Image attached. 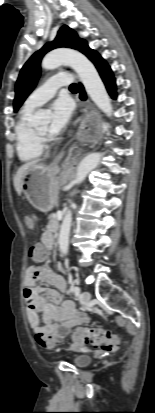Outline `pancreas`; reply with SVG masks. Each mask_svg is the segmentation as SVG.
Wrapping results in <instances>:
<instances>
[{"instance_id": "cf45deb5", "label": "pancreas", "mask_w": 155, "mask_h": 413, "mask_svg": "<svg viewBox=\"0 0 155 413\" xmlns=\"http://www.w3.org/2000/svg\"><path fill=\"white\" fill-rule=\"evenodd\" d=\"M58 226H59V223H58L57 216L55 214L50 215L49 216V228H51L52 231L56 232Z\"/></svg>"}]
</instances>
